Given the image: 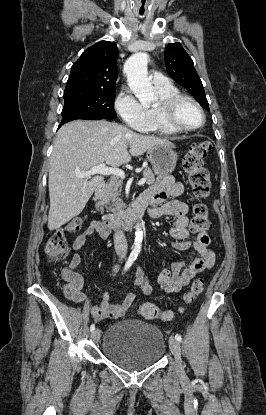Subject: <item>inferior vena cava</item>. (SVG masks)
<instances>
[{
	"mask_svg": "<svg viewBox=\"0 0 266 415\" xmlns=\"http://www.w3.org/2000/svg\"><path fill=\"white\" fill-rule=\"evenodd\" d=\"M114 248L116 254L121 257L125 258L127 255L128 244L125 237V234L122 230H116L114 234Z\"/></svg>",
	"mask_w": 266,
	"mask_h": 415,
	"instance_id": "obj_1",
	"label": "inferior vena cava"
}]
</instances>
